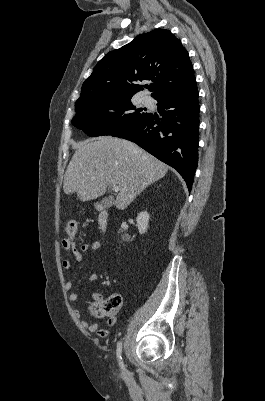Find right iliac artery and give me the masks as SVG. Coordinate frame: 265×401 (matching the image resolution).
Listing matches in <instances>:
<instances>
[{
	"mask_svg": "<svg viewBox=\"0 0 265 401\" xmlns=\"http://www.w3.org/2000/svg\"><path fill=\"white\" fill-rule=\"evenodd\" d=\"M116 355H117V359H118L120 367L122 369H124L125 367H124V363L122 361V342L121 341H119L117 344Z\"/></svg>",
	"mask_w": 265,
	"mask_h": 401,
	"instance_id": "obj_1",
	"label": "right iliac artery"
}]
</instances>
